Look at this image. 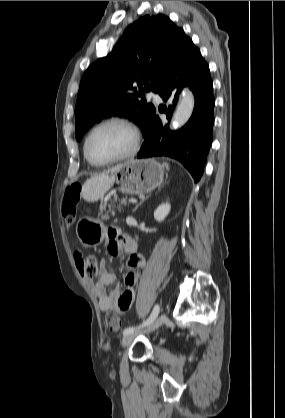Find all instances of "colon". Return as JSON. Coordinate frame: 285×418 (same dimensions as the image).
Wrapping results in <instances>:
<instances>
[{
	"mask_svg": "<svg viewBox=\"0 0 285 418\" xmlns=\"http://www.w3.org/2000/svg\"><path fill=\"white\" fill-rule=\"evenodd\" d=\"M77 198L78 190L75 187H68L64 192L61 205V213L67 224H74L77 221ZM76 265L84 278H95L99 272L97 259L93 255H85L82 251L75 252ZM106 326L109 331H118L121 328V320L114 312L106 315Z\"/></svg>",
	"mask_w": 285,
	"mask_h": 418,
	"instance_id": "obj_1",
	"label": "colon"
}]
</instances>
